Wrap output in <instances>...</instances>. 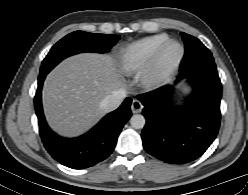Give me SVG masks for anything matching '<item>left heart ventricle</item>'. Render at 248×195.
<instances>
[{
    "label": "left heart ventricle",
    "mask_w": 248,
    "mask_h": 195,
    "mask_svg": "<svg viewBox=\"0 0 248 195\" xmlns=\"http://www.w3.org/2000/svg\"><path fill=\"white\" fill-rule=\"evenodd\" d=\"M179 53H180L179 46L177 44L171 45L165 53V56L163 59L164 64L168 65V64L173 63L179 56Z\"/></svg>",
    "instance_id": "b2bd125f"
}]
</instances>
